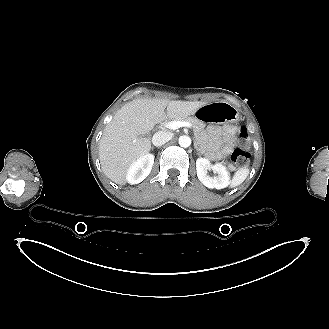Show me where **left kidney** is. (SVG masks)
<instances>
[{
    "label": "left kidney",
    "instance_id": "obj_1",
    "mask_svg": "<svg viewBox=\"0 0 329 329\" xmlns=\"http://www.w3.org/2000/svg\"><path fill=\"white\" fill-rule=\"evenodd\" d=\"M196 170L198 179L208 188L222 189L230 184V174L221 163L211 165L206 158L196 160ZM208 170H212L217 176L210 177Z\"/></svg>",
    "mask_w": 329,
    "mask_h": 329
}]
</instances>
